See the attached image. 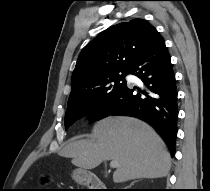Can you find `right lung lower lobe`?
<instances>
[{
	"label": "right lung lower lobe",
	"instance_id": "1",
	"mask_svg": "<svg viewBox=\"0 0 210 191\" xmlns=\"http://www.w3.org/2000/svg\"><path fill=\"white\" fill-rule=\"evenodd\" d=\"M129 74L140 78L144 88L123 87L109 101L97 120L109 115L140 118L153 126L164 139L171 155L177 137V88L170 55L160 36L131 64Z\"/></svg>",
	"mask_w": 210,
	"mask_h": 191
}]
</instances>
